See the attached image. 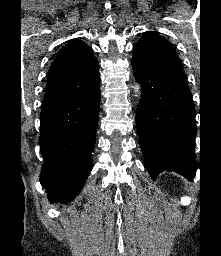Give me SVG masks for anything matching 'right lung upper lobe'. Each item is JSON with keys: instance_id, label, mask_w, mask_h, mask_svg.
Listing matches in <instances>:
<instances>
[{"instance_id": "1", "label": "right lung upper lobe", "mask_w": 221, "mask_h": 256, "mask_svg": "<svg viewBox=\"0 0 221 256\" xmlns=\"http://www.w3.org/2000/svg\"><path fill=\"white\" fill-rule=\"evenodd\" d=\"M93 53L79 39L60 49L50 67L42 109L70 102L100 87L99 63Z\"/></svg>"}]
</instances>
